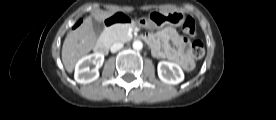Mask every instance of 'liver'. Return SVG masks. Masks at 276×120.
Instances as JSON below:
<instances>
[{
	"instance_id": "6515ba94",
	"label": "liver",
	"mask_w": 276,
	"mask_h": 120,
	"mask_svg": "<svg viewBox=\"0 0 276 120\" xmlns=\"http://www.w3.org/2000/svg\"><path fill=\"white\" fill-rule=\"evenodd\" d=\"M112 15L113 12L96 11L86 17L79 27L67 34L62 46V61L67 72L71 73L78 60L89 53L95 45L96 35L92 29V17L102 22Z\"/></svg>"
}]
</instances>
